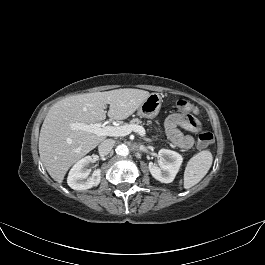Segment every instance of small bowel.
Returning a JSON list of instances; mask_svg holds the SVG:
<instances>
[{"label":"small bowel","mask_w":265,"mask_h":265,"mask_svg":"<svg viewBox=\"0 0 265 265\" xmlns=\"http://www.w3.org/2000/svg\"><path fill=\"white\" fill-rule=\"evenodd\" d=\"M180 127L191 132H198L201 124L195 117L186 113H174L165 122V131L169 140L181 149H190L194 144V139L191 135L183 134Z\"/></svg>","instance_id":"1"}]
</instances>
